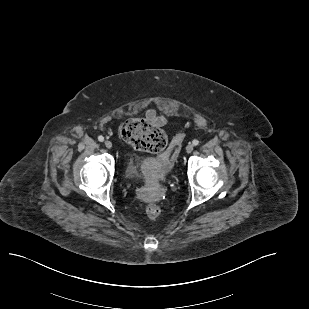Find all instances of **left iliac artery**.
<instances>
[{
    "label": "left iliac artery",
    "instance_id": "left-iliac-artery-1",
    "mask_svg": "<svg viewBox=\"0 0 309 309\" xmlns=\"http://www.w3.org/2000/svg\"><path fill=\"white\" fill-rule=\"evenodd\" d=\"M198 144H199V141H198V140L194 139V140L192 141V145H193V146H197Z\"/></svg>",
    "mask_w": 309,
    "mask_h": 309
}]
</instances>
